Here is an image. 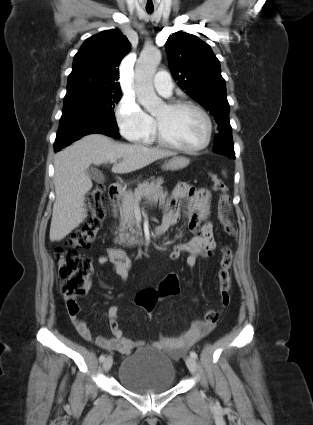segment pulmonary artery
Masks as SVG:
<instances>
[{
  "label": "pulmonary artery",
  "mask_w": 313,
  "mask_h": 425,
  "mask_svg": "<svg viewBox=\"0 0 313 425\" xmlns=\"http://www.w3.org/2000/svg\"><path fill=\"white\" fill-rule=\"evenodd\" d=\"M153 85L160 95L164 97H170L172 95L173 83L168 72H157L153 80Z\"/></svg>",
  "instance_id": "1"
}]
</instances>
